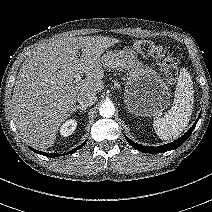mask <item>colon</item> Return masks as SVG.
<instances>
[{"instance_id": "colon-1", "label": "colon", "mask_w": 212, "mask_h": 212, "mask_svg": "<svg viewBox=\"0 0 212 212\" xmlns=\"http://www.w3.org/2000/svg\"><path fill=\"white\" fill-rule=\"evenodd\" d=\"M133 47L139 53L154 58L168 81L173 82L176 79L179 64L171 49L151 40H139L133 44Z\"/></svg>"}]
</instances>
